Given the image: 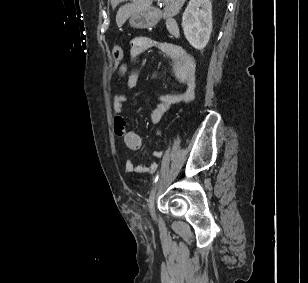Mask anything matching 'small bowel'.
Returning a JSON list of instances; mask_svg holds the SVG:
<instances>
[{
	"label": "small bowel",
	"instance_id": "obj_1",
	"mask_svg": "<svg viewBox=\"0 0 308 283\" xmlns=\"http://www.w3.org/2000/svg\"><path fill=\"white\" fill-rule=\"evenodd\" d=\"M159 48L169 59L170 65L176 80L185 86L180 92L167 93L158 97V102L152 109L150 119L152 122H158L163 115L176 103L188 102L194 96L195 86V65L193 59L188 53L178 45L167 42H156L148 37H136L131 42L130 55L138 58L151 48ZM118 88H122L123 84L134 89L139 83V74L136 71L128 72L125 65L118 67V76L116 78ZM126 100L125 94L116 93L113 97L112 108L114 112V132L123 138L126 147L132 151L141 149L143 141L141 136L128 129L126 119L123 115V104ZM153 155L157 158L162 157L161 150H155ZM157 164L151 163L148 166H140L134 164L132 160H127L125 169L128 172L148 173L156 169Z\"/></svg>",
	"mask_w": 308,
	"mask_h": 283
}]
</instances>
